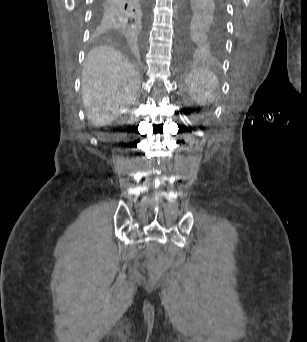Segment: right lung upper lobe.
<instances>
[{
  "mask_svg": "<svg viewBox=\"0 0 307 342\" xmlns=\"http://www.w3.org/2000/svg\"><path fill=\"white\" fill-rule=\"evenodd\" d=\"M97 33L108 39L140 40L149 18L148 0H96Z\"/></svg>",
  "mask_w": 307,
  "mask_h": 342,
  "instance_id": "obj_1",
  "label": "right lung upper lobe"
}]
</instances>
